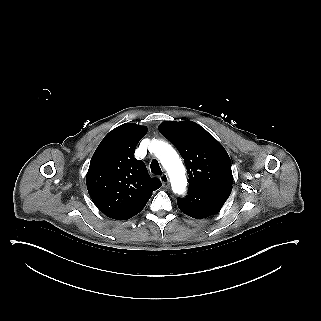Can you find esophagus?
<instances>
[{
  "label": "esophagus",
  "instance_id": "esophagus-1",
  "mask_svg": "<svg viewBox=\"0 0 321 321\" xmlns=\"http://www.w3.org/2000/svg\"><path fill=\"white\" fill-rule=\"evenodd\" d=\"M160 180H161L163 186L167 187V185L169 183V177L166 173H164L163 175L160 176Z\"/></svg>",
  "mask_w": 321,
  "mask_h": 321
}]
</instances>
